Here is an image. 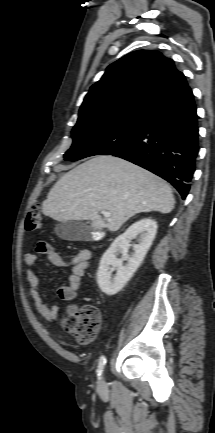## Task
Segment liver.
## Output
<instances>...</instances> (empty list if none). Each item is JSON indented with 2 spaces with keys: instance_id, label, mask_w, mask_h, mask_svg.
Segmentation results:
<instances>
[{
  "instance_id": "obj_1",
  "label": "liver",
  "mask_w": 215,
  "mask_h": 433,
  "mask_svg": "<svg viewBox=\"0 0 215 433\" xmlns=\"http://www.w3.org/2000/svg\"><path fill=\"white\" fill-rule=\"evenodd\" d=\"M174 205L172 189L163 179L124 159L99 155L65 173L42 211L59 222L90 220L94 230L117 231L135 214H166ZM101 211L110 217L104 220Z\"/></svg>"
}]
</instances>
